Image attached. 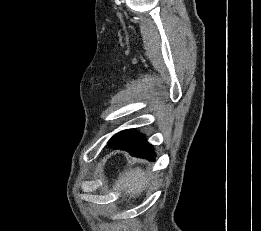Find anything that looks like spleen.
Wrapping results in <instances>:
<instances>
[{"label":"spleen","instance_id":"obj_1","mask_svg":"<svg viewBox=\"0 0 261 231\" xmlns=\"http://www.w3.org/2000/svg\"><path fill=\"white\" fill-rule=\"evenodd\" d=\"M148 178L149 176L140 168H134L120 174L116 188L128 194H135L145 187Z\"/></svg>","mask_w":261,"mask_h":231}]
</instances>
